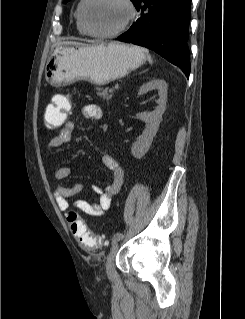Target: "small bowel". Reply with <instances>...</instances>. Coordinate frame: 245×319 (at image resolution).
<instances>
[{"mask_svg":"<svg viewBox=\"0 0 245 319\" xmlns=\"http://www.w3.org/2000/svg\"><path fill=\"white\" fill-rule=\"evenodd\" d=\"M57 96L60 95L54 96L49 106L54 103ZM82 116L86 120L99 121L102 118V110L95 104H89L83 107ZM73 130L74 122L72 120H66L63 128L50 140V147L56 149L69 143ZM101 160L105 168L111 172L112 179L104 188L97 185L93 187V190L100 195L98 202L95 203L87 199H78L74 202L76 209L94 217L102 216L110 208L112 197L120 191L124 178L123 169L112 155L104 153ZM70 173L71 170L69 167L61 166L56 170L55 178L62 181L67 179ZM83 189L84 186L81 183L72 186L58 185L54 191V196L59 210L62 212L67 211L69 208V199L81 194Z\"/></svg>","mask_w":245,"mask_h":319,"instance_id":"obj_1","label":"small bowel"}]
</instances>
